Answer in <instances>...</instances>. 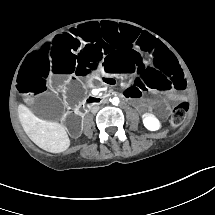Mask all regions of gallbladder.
<instances>
[{
    "mask_svg": "<svg viewBox=\"0 0 215 215\" xmlns=\"http://www.w3.org/2000/svg\"><path fill=\"white\" fill-rule=\"evenodd\" d=\"M65 108V101L54 94H40L33 101V112L41 120H58Z\"/></svg>",
    "mask_w": 215,
    "mask_h": 215,
    "instance_id": "gallbladder-1",
    "label": "gallbladder"
}]
</instances>
